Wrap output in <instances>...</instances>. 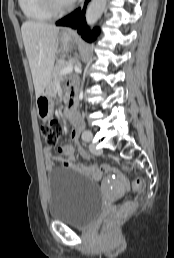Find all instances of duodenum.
Returning <instances> with one entry per match:
<instances>
[{"mask_svg":"<svg viewBox=\"0 0 174 258\" xmlns=\"http://www.w3.org/2000/svg\"><path fill=\"white\" fill-rule=\"evenodd\" d=\"M75 107H76V98L73 95H71L66 102V105L64 108V115L67 118L73 119Z\"/></svg>","mask_w":174,"mask_h":258,"instance_id":"410a0bca","label":"duodenum"}]
</instances>
